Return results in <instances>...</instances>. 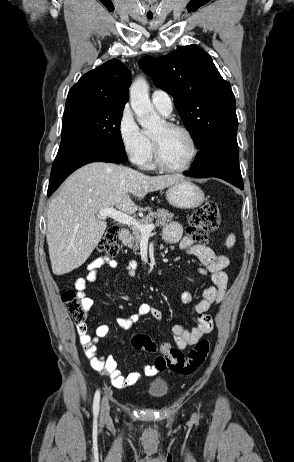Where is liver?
Returning <instances> with one entry per match:
<instances>
[{"label": "liver", "instance_id": "liver-1", "mask_svg": "<svg viewBox=\"0 0 294 462\" xmlns=\"http://www.w3.org/2000/svg\"><path fill=\"white\" fill-rule=\"evenodd\" d=\"M184 176H148L128 167L95 162L66 179L47 212L46 239L52 271L63 275L80 267L100 242L107 223L101 209L118 208L134 214L138 206L130 194L143 199L149 192L169 187Z\"/></svg>", "mask_w": 294, "mask_h": 462}]
</instances>
